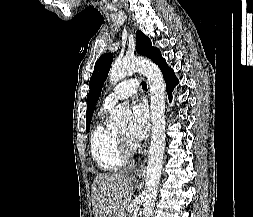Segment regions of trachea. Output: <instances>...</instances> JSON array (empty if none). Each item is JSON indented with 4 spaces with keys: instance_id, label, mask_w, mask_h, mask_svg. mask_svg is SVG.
<instances>
[{
    "instance_id": "3493384b",
    "label": "trachea",
    "mask_w": 253,
    "mask_h": 217,
    "mask_svg": "<svg viewBox=\"0 0 253 217\" xmlns=\"http://www.w3.org/2000/svg\"><path fill=\"white\" fill-rule=\"evenodd\" d=\"M141 85L143 89H147V84L144 81L141 83Z\"/></svg>"
}]
</instances>
